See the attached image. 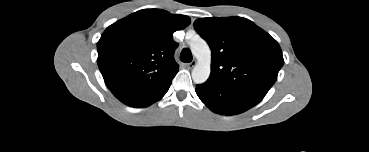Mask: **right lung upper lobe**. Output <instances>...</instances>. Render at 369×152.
Masks as SVG:
<instances>
[{"label":"right lung upper lobe","mask_w":369,"mask_h":152,"mask_svg":"<svg viewBox=\"0 0 369 152\" xmlns=\"http://www.w3.org/2000/svg\"><path fill=\"white\" fill-rule=\"evenodd\" d=\"M190 18L160 9H143L110 25L97 43V63L110 91L125 104L161 92L179 66L173 33Z\"/></svg>","instance_id":"obj_1"}]
</instances>
